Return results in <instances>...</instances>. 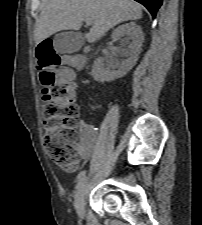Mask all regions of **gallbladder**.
Listing matches in <instances>:
<instances>
[{"label": "gallbladder", "mask_w": 202, "mask_h": 225, "mask_svg": "<svg viewBox=\"0 0 202 225\" xmlns=\"http://www.w3.org/2000/svg\"><path fill=\"white\" fill-rule=\"evenodd\" d=\"M84 44L82 34L75 31H63L54 37L53 46L59 54L78 52Z\"/></svg>", "instance_id": "bac80fb5"}]
</instances>
